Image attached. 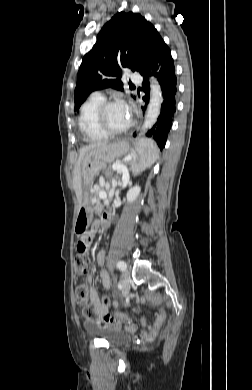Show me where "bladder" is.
I'll return each instance as SVG.
<instances>
[{"mask_svg": "<svg viewBox=\"0 0 252 390\" xmlns=\"http://www.w3.org/2000/svg\"><path fill=\"white\" fill-rule=\"evenodd\" d=\"M88 330L94 335H97L112 345H121L130 342L131 336L128 332L112 327L101 325H88Z\"/></svg>", "mask_w": 252, "mask_h": 390, "instance_id": "obj_1", "label": "bladder"}]
</instances>
